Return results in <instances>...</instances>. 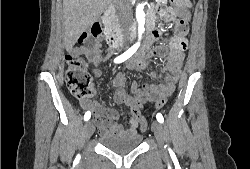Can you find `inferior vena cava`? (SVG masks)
<instances>
[{
    "mask_svg": "<svg viewBox=\"0 0 250 169\" xmlns=\"http://www.w3.org/2000/svg\"><path fill=\"white\" fill-rule=\"evenodd\" d=\"M117 10L119 22L123 30H129L133 18L130 0H119Z\"/></svg>",
    "mask_w": 250,
    "mask_h": 169,
    "instance_id": "inferior-vena-cava-1",
    "label": "inferior vena cava"
}]
</instances>
